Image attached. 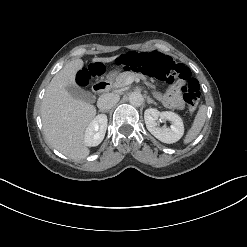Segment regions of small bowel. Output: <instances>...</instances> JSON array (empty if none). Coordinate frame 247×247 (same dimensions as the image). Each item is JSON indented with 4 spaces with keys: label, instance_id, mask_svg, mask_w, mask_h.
Instances as JSON below:
<instances>
[{
    "label": "small bowel",
    "instance_id": "1",
    "mask_svg": "<svg viewBox=\"0 0 247 247\" xmlns=\"http://www.w3.org/2000/svg\"><path fill=\"white\" fill-rule=\"evenodd\" d=\"M164 100H165L166 104L171 106V107H175V108H181L182 107V103H181V100L178 96V91L176 88L170 89L168 91V93L166 94Z\"/></svg>",
    "mask_w": 247,
    "mask_h": 247
}]
</instances>
